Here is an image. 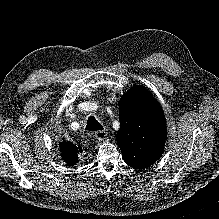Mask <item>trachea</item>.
I'll use <instances>...</instances> for the list:
<instances>
[{"mask_svg": "<svg viewBox=\"0 0 219 219\" xmlns=\"http://www.w3.org/2000/svg\"><path fill=\"white\" fill-rule=\"evenodd\" d=\"M87 131H99L103 130V126L96 120L94 116H90L87 121V126L85 128Z\"/></svg>", "mask_w": 219, "mask_h": 219, "instance_id": "3493384b", "label": "trachea"}]
</instances>
